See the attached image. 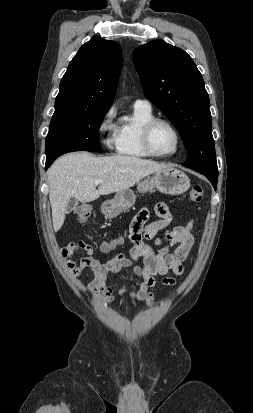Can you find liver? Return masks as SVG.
Segmentation results:
<instances>
[{"mask_svg":"<svg viewBox=\"0 0 253 413\" xmlns=\"http://www.w3.org/2000/svg\"><path fill=\"white\" fill-rule=\"evenodd\" d=\"M169 165L132 156L94 157L86 152L59 157L48 170L49 200L54 231L64 224L68 202L75 198L91 202L127 190L143 178ZM101 180L98 189L94 182Z\"/></svg>","mask_w":253,"mask_h":413,"instance_id":"obj_1","label":"liver"}]
</instances>
